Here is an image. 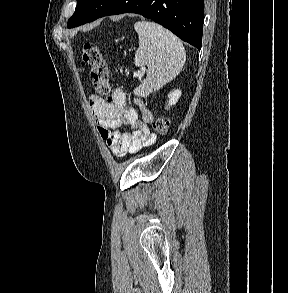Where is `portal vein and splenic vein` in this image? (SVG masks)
Wrapping results in <instances>:
<instances>
[{
	"instance_id": "portal-vein-and-splenic-vein-1",
	"label": "portal vein and splenic vein",
	"mask_w": 288,
	"mask_h": 293,
	"mask_svg": "<svg viewBox=\"0 0 288 293\" xmlns=\"http://www.w3.org/2000/svg\"><path fill=\"white\" fill-rule=\"evenodd\" d=\"M141 71H142V72H144V71H145V69H142ZM141 71H138V74H141Z\"/></svg>"
}]
</instances>
